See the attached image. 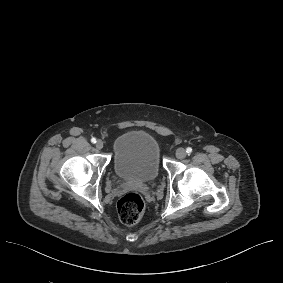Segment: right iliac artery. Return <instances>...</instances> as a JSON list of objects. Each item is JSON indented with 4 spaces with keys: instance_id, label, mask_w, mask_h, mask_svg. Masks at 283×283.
Returning <instances> with one entry per match:
<instances>
[{
    "instance_id": "obj_1",
    "label": "right iliac artery",
    "mask_w": 283,
    "mask_h": 283,
    "mask_svg": "<svg viewBox=\"0 0 283 283\" xmlns=\"http://www.w3.org/2000/svg\"><path fill=\"white\" fill-rule=\"evenodd\" d=\"M91 142H92V143H96V139H95V138H92V139H91Z\"/></svg>"
}]
</instances>
